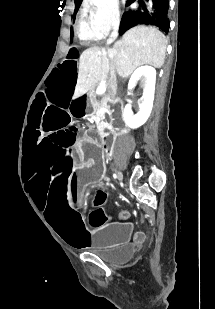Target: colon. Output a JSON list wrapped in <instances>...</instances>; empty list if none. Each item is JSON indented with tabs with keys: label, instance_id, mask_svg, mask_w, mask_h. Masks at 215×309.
<instances>
[{
	"label": "colon",
	"instance_id": "5ec220e1",
	"mask_svg": "<svg viewBox=\"0 0 215 309\" xmlns=\"http://www.w3.org/2000/svg\"><path fill=\"white\" fill-rule=\"evenodd\" d=\"M102 216H103V212H99L93 217V222L97 223L102 218Z\"/></svg>",
	"mask_w": 215,
	"mask_h": 309
}]
</instances>
